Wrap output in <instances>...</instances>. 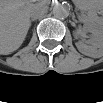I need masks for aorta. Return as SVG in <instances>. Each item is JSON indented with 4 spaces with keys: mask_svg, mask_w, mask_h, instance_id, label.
Wrapping results in <instances>:
<instances>
[{
    "mask_svg": "<svg viewBox=\"0 0 103 103\" xmlns=\"http://www.w3.org/2000/svg\"><path fill=\"white\" fill-rule=\"evenodd\" d=\"M69 6L66 3H58L53 8V14L58 19H65L69 16Z\"/></svg>",
    "mask_w": 103,
    "mask_h": 103,
    "instance_id": "aorta-1",
    "label": "aorta"
}]
</instances>
